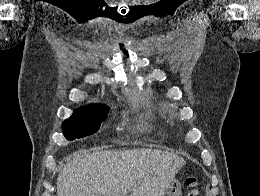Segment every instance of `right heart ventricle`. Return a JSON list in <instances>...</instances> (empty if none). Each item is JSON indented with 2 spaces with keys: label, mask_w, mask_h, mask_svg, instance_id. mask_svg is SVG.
<instances>
[{
  "label": "right heart ventricle",
  "mask_w": 260,
  "mask_h": 196,
  "mask_svg": "<svg viewBox=\"0 0 260 196\" xmlns=\"http://www.w3.org/2000/svg\"><path fill=\"white\" fill-rule=\"evenodd\" d=\"M115 192H126V190H116Z\"/></svg>",
  "instance_id": "right-heart-ventricle-1"
}]
</instances>
